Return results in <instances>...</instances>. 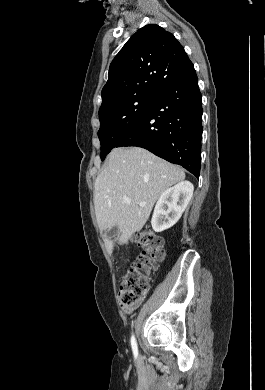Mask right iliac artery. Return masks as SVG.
Here are the masks:
<instances>
[{
    "mask_svg": "<svg viewBox=\"0 0 265 390\" xmlns=\"http://www.w3.org/2000/svg\"><path fill=\"white\" fill-rule=\"evenodd\" d=\"M131 346H132L133 354H134L135 358H137V356H138V347H137V342H136V339H135L134 335H132V337H131Z\"/></svg>",
    "mask_w": 265,
    "mask_h": 390,
    "instance_id": "1",
    "label": "right iliac artery"
}]
</instances>
